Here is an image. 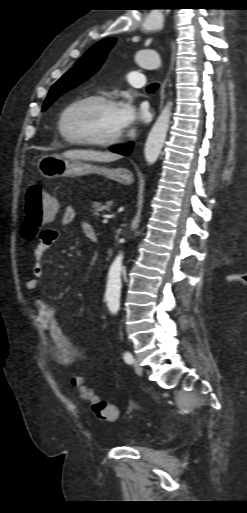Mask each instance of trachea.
I'll return each mask as SVG.
<instances>
[{
  "label": "trachea",
  "instance_id": "trachea-1",
  "mask_svg": "<svg viewBox=\"0 0 247 513\" xmlns=\"http://www.w3.org/2000/svg\"><path fill=\"white\" fill-rule=\"evenodd\" d=\"M158 87H159V84H157V83H152V84H150V85L146 88V90H147V92H149V93H153V92H155V91L157 90V88H158Z\"/></svg>",
  "mask_w": 247,
  "mask_h": 513
}]
</instances>
